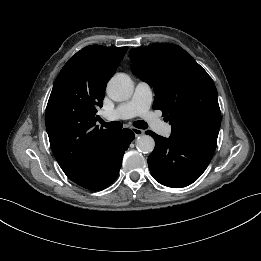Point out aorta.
I'll list each match as a JSON object with an SVG mask.
<instances>
[{
    "label": "aorta",
    "instance_id": "aorta-1",
    "mask_svg": "<svg viewBox=\"0 0 261 261\" xmlns=\"http://www.w3.org/2000/svg\"><path fill=\"white\" fill-rule=\"evenodd\" d=\"M134 90L133 81L124 73L115 74L108 82L107 93L114 101H125L131 98ZM155 141L149 135H141L136 139V148L142 153H151L154 150Z\"/></svg>",
    "mask_w": 261,
    "mask_h": 261
}]
</instances>
